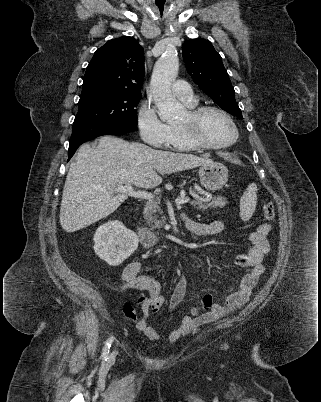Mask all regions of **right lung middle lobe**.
Here are the masks:
<instances>
[{
    "instance_id": "right-lung-middle-lobe-1",
    "label": "right lung middle lobe",
    "mask_w": 321,
    "mask_h": 402,
    "mask_svg": "<svg viewBox=\"0 0 321 402\" xmlns=\"http://www.w3.org/2000/svg\"><path fill=\"white\" fill-rule=\"evenodd\" d=\"M140 95L100 88L82 89L73 126L90 123H124L137 126Z\"/></svg>"
}]
</instances>
